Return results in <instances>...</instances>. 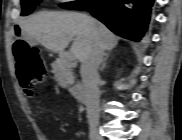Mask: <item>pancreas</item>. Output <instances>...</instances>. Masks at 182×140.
Here are the masks:
<instances>
[{"label": "pancreas", "instance_id": "1", "mask_svg": "<svg viewBox=\"0 0 182 140\" xmlns=\"http://www.w3.org/2000/svg\"><path fill=\"white\" fill-rule=\"evenodd\" d=\"M54 78L61 87H67L74 82L71 63L66 60H57L53 63Z\"/></svg>", "mask_w": 182, "mask_h": 140}]
</instances>
